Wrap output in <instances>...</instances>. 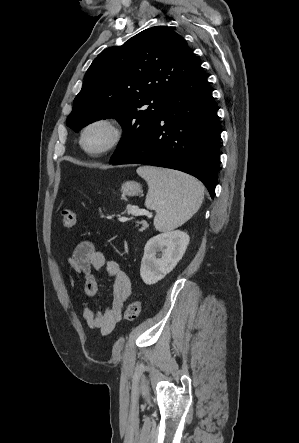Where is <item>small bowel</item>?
Here are the masks:
<instances>
[{
	"label": "small bowel",
	"instance_id": "small-bowel-1",
	"mask_svg": "<svg viewBox=\"0 0 299 443\" xmlns=\"http://www.w3.org/2000/svg\"><path fill=\"white\" fill-rule=\"evenodd\" d=\"M69 283L83 279V292L86 297H94L98 284L95 271L105 269L113 279L112 301L109 308L94 311L87 302H83V316L91 329H99L102 336H109L121 318L124 303L132 293V283L129 276L122 271L117 261L107 259L93 242L85 240L74 244L72 255L67 260Z\"/></svg>",
	"mask_w": 299,
	"mask_h": 443
}]
</instances>
